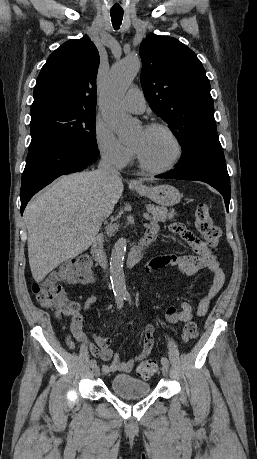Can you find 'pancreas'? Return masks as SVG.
I'll use <instances>...</instances> for the list:
<instances>
[{"instance_id":"obj_1","label":"pancreas","mask_w":257,"mask_h":459,"mask_svg":"<svg viewBox=\"0 0 257 459\" xmlns=\"http://www.w3.org/2000/svg\"><path fill=\"white\" fill-rule=\"evenodd\" d=\"M146 209L149 213L152 214V221L154 222H164L168 219H172L176 213L173 211H168L165 207H158L153 204L146 205ZM118 229L117 224H112L108 227L107 234L112 236L114 232Z\"/></svg>"}]
</instances>
